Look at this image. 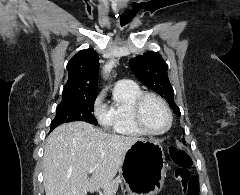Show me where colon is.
Segmentation results:
<instances>
[{"mask_svg": "<svg viewBox=\"0 0 240 195\" xmlns=\"http://www.w3.org/2000/svg\"><path fill=\"white\" fill-rule=\"evenodd\" d=\"M170 155L173 161L180 165L177 177L185 191V195H200L199 179L187 169L191 164L189 153L181 147H175L171 149Z\"/></svg>", "mask_w": 240, "mask_h": 195, "instance_id": "5ec220e1", "label": "colon"}]
</instances>
